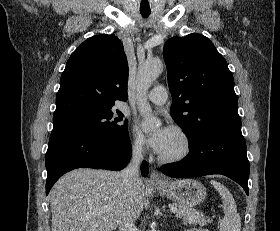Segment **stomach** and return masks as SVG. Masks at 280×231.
<instances>
[{"label": "stomach", "mask_w": 280, "mask_h": 231, "mask_svg": "<svg viewBox=\"0 0 280 231\" xmlns=\"http://www.w3.org/2000/svg\"><path fill=\"white\" fill-rule=\"evenodd\" d=\"M155 187L161 195H166L169 199H174L176 203L185 205V207L199 205L206 197L204 185L196 179H176V181H169L168 187L155 183Z\"/></svg>", "instance_id": "obj_1"}]
</instances>
